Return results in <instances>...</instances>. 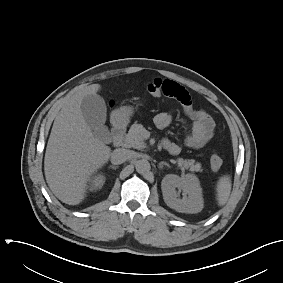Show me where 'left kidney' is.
Segmentation results:
<instances>
[{
	"mask_svg": "<svg viewBox=\"0 0 283 283\" xmlns=\"http://www.w3.org/2000/svg\"><path fill=\"white\" fill-rule=\"evenodd\" d=\"M165 203L172 209L181 213H198L203 209L202 189L198 178L193 174L179 177L168 174L161 183ZM176 188L182 192L179 197Z\"/></svg>",
	"mask_w": 283,
	"mask_h": 283,
	"instance_id": "5707ae66",
	"label": "left kidney"
}]
</instances>
